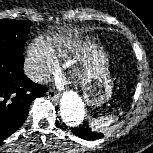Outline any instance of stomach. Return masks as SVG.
<instances>
[{"instance_id":"stomach-1","label":"stomach","mask_w":153,"mask_h":153,"mask_svg":"<svg viewBox=\"0 0 153 153\" xmlns=\"http://www.w3.org/2000/svg\"><path fill=\"white\" fill-rule=\"evenodd\" d=\"M85 71L82 77L84 98L92 106H100L112 95L113 84L102 47L94 43L84 45Z\"/></svg>"}]
</instances>
